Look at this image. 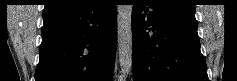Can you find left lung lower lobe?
I'll list each match as a JSON object with an SVG mask.
<instances>
[{
    "mask_svg": "<svg viewBox=\"0 0 237 81\" xmlns=\"http://www.w3.org/2000/svg\"><path fill=\"white\" fill-rule=\"evenodd\" d=\"M132 50L134 81H208L193 11L135 0Z\"/></svg>",
    "mask_w": 237,
    "mask_h": 81,
    "instance_id": "left-lung-lower-lobe-1",
    "label": "left lung lower lobe"
}]
</instances>
